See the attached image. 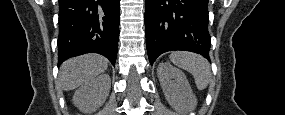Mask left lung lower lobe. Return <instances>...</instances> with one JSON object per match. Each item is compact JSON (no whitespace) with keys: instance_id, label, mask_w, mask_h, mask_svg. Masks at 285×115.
<instances>
[{"instance_id":"obj_1","label":"left lung lower lobe","mask_w":285,"mask_h":115,"mask_svg":"<svg viewBox=\"0 0 285 115\" xmlns=\"http://www.w3.org/2000/svg\"><path fill=\"white\" fill-rule=\"evenodd\" d=\"M208 0L145 2V35L151 64L162 53L186 50L209 60Z\"/></svg>"}]
</instances>
